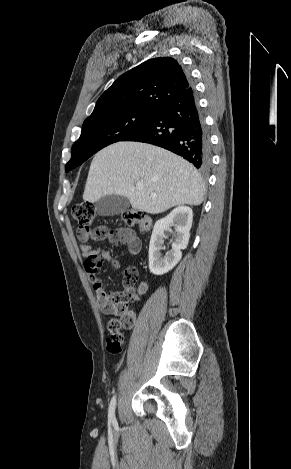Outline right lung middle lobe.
<instances>
[{"mask_svg":"<svg viewBox=\"0 0 291 469\" xmlns=\"http://www.w3.org/2000/svg\"><path fill=\"white\" fill-rule=\"evenodd\" d=\"M154 110L131 109L111 116L84 121L80 138L72 147V156L66 172L79 166L105 146L122 141L141 127Z\"/></svg>","mask_w":291,"mask_h":469,"instance_id":"dd1d6c3e","label":"right lung middle lobe"}]
</instances>
